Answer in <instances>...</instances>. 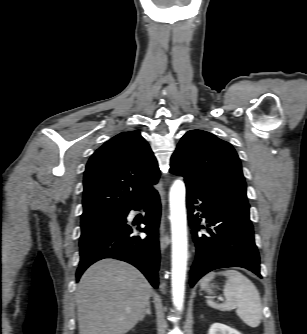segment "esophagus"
Here are the masks:
<instances>
[{
	"label": "esophagus",
	"mask_w": 307,
	"mask_h": 334,
	"mask_svg": "<svg viewBox=\"0 0 307 334\" xmlns=\"http://www.w3.org/2000/svg\"><path fill=\"white\" fill-rule=\"evenodd\" d=\"M165 244H166V239L164 237V221H163V217H162L161 224H160V247H161V250H163Z\"/></svg>",
	"instance_id": "1"
}]
</instances>
